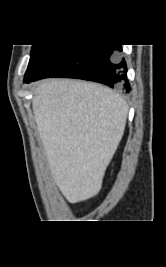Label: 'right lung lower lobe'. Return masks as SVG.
<instances>
[{
    "label": "right lung lower lobe",
    "instance_id": "right-lung-lower-lobe-1",
    "mask_svg": "<svg viewBox=\"0 0 166 267\" xmlns=\"http://www.w3.org/2000/svg\"><path fill=\"white\" fill-rule=\"evenodd\" d=\"M121 51V45H52L24 82L69 77L99 82L129 93L131 86Z\"/></svg>",
    "mask_w": 166,
    "mask_h": 267
}]
</instances>
